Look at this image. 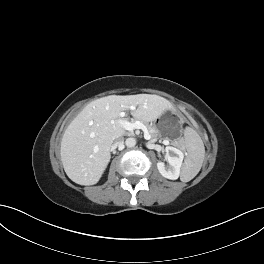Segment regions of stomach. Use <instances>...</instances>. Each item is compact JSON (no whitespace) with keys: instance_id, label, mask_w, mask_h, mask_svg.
<instances>
[{"instance_id":"obj_1","label":"stomach","mask_w":264,"mask_h":264,"mask_svg":"<svg viewBox=\"0 0 264 264\" xmlns=\"http://www.w3.org/2000/svg\"><path fill=\"white\" fill-rule=\"evenodd\" d=\"M179 123L180 120L175 114L170 112L165 113L161 118H159L156 124V129L158 130L159 136L163 138L169 137L174 140L179 139L182 135L181 130L178 128H173L178 126Z\"/></svg>"}]
</instances>
